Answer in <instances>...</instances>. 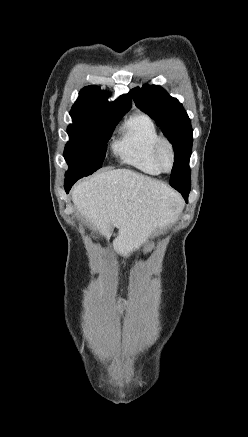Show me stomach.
Segmentation results:
<instances>
[{"mask_svg":"<svg viewBox=\"0 0 248 437\" xmlns=\"http://www.w3.org/2000/svg\"><path fill=\"white\" fill-rule=\"evenodd\" d=\"M174 208H175V210H176L177 215H178V214L181 212V210H182V206H181L180 203H175V204H174Z\"/></svg>","mask_w":248,"mask_h":437,"instance_id":"stomach-1","label":"stomach"}]
</instances>
